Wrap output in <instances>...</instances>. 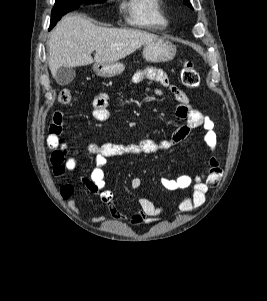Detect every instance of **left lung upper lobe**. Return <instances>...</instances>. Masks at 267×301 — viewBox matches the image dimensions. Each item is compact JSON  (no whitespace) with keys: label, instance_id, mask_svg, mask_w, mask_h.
Instances as JSON below:
<instances>
[{"label":"left lung upper lobe","instance_id":"5c2ea615","mask_svg":"<svg viewBox=\"0 0 267 301\" xmlns=\"http://www.w3.org/2000/svg\"><path fill=\"white\" fill-rule=\"evenodd\" d=\"M184 1H185V3H186L187 5L191 6L189 0H184Z\"/></svg>","mask_w":267,"mask_h":301}]
</instances>
